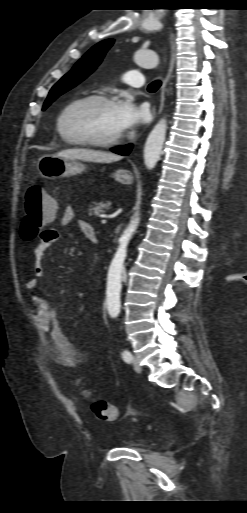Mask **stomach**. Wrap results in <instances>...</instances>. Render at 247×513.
<instances>
[{
    "label": "stomach",
    "instance_id": "stomach-1",
    "mask_svg": "<svg viewBox=\"0 0 247 513\" xmlns=\"http://www.w3.org/2000/svg\"><path fill=\"white\" fill-rule=\"evenodd\" d=\"M87 166L76 160H68L58 155H44L38 161V171L45 179H57L81 174ZM112 177L121 184L129 185L133 177L128 170H117Z\"/></svg>",
    "mask_w": 247,
    "mask_h": 513
}]
</instances>
